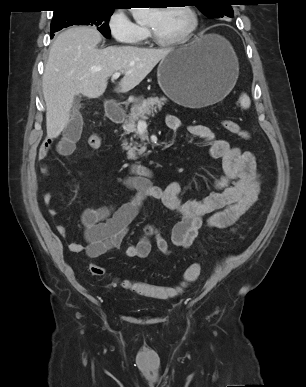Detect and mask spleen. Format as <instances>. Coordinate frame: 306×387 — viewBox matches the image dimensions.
<instances>
[{"mask_svg":"<svg viewBox=\"0 0 306 387\" xmlns=\"http://www.w3.org/2000/svg\"><path fill=\"white\" fill-rule=\"evenodd\" d=\"M239 103L243 109H248L251 105L249 96L246 93H242L239 98Z\"/></svg>","mask_w":306,"mask_h":387,"instance_id":"spleen-1","label":"spleen"}]
</instances>
